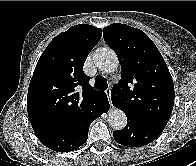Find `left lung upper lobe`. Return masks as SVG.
<instances>
[{"label": "left lung upper lobe", "mask_w": 196, "mask_h": 166, "mask_svg": "<svg viewBox=\"0 0 196 166\" xmlns=\"http://www.w3.org/2000/svg\"><path fill=\"white\" fill-rule=\"evenodd\" d=\"M104 40L118 56L121 80L111 100L127 118L164 130L174 105V84L169 69L152 40L140 29L111 24Z\"/></svg>", "instance_id": "obj_1"}]
</instances>
